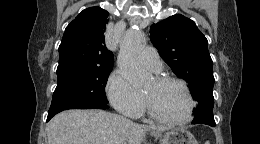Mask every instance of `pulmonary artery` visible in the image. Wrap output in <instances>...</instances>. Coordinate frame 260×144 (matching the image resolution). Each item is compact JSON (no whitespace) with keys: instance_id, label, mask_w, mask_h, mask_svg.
<instances>
[{"instance_id":"1","label":"pulmonary artery","mask_w":260,"mask_h":144,"mask_svg":"<svg viewBox=\"0 0 260 144\" xmlns=\"http://www.w3.org/2000/svg\"><path fill=\"white\" fill-rule=\"evenodd\" d=\"M140 63L149 71L158 73L161 71V60L156 49L152 47L145 48L139 57Z\"/></svg>"}]
</instances>
